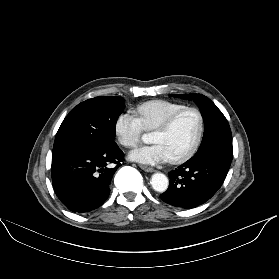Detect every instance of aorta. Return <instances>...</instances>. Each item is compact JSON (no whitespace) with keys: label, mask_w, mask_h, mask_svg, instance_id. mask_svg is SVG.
I'll return each mask as SVG.
<instances>
[{"label":"aorta","mask_w":279,"mask_h":279,"mask_svg":"<svg viewBox=\"0 0 279 279\" xmlns=\"http://www.w3.org/2000/svg\"><path fill=\"white\" fill-rule=\"evenodd\" d=\"M150 183L152 188L157 192H165L169 185L168 178L163 173L153 174Z\"/></svg>","instance_id":"1"}]
</instances>
